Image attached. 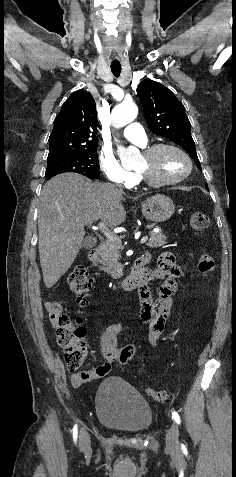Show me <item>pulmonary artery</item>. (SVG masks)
<instances>
[{
    "label": "pulmonary artery",
    "instance_id": "obj_1",
    "mask_svg": "<svg viewBox=\"0 0 236 477\" xmlns=\"http://www.w3.org/2000/svg\"><path fill=\"white\" fill-rule=\"evenodd\" d=\"M123 136L140 146H145L147 144V136L143 127L139 123H129L123 129Z\"/></svg>",
    "mask_w": 236,
    "mask_h": 477
}]
</instances>
